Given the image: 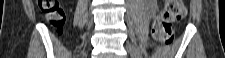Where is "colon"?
<instances>
[{"label":"colon","instance_id":"1","mask_svg":"<svg viewBox=\"0 0 225 58\" xmlns=\"http://www.w3.org/2000/svg\"><path fill=\"white\" fill-rule=\"evenodd\" d=\"M38 10L54 28L60 33L65 24V11L57 0H41ZM187 14L183 0H168L164 10L159 13L153 22L152 34L154 39L162 45L168 46L174 40L175 24Z\"/></svg>","mask_w":225,"mask_h":58}]
</instances>
